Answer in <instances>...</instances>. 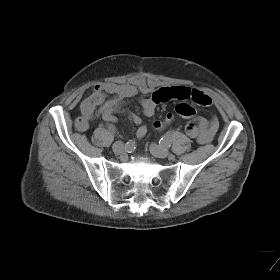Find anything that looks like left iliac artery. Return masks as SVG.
<instances>
[{
  "mask_svg": "<svg viewBox=\"0 0 280 280\" xmlns=\"http://www.w3.org/2000/svg\"><path fill=\"white\" fill-rule=\"evenodd\" d=\"M173 130L168 131L162 138L161 141L163 144L170 146L173 139Z\"/></svg>",
  "mask_w": 280,
  "mask_h": 280,
  "instance_id": "left-iliac-artery-1",
  "label": "left iliac artery"
}]
</instances>
